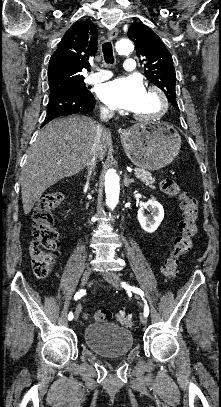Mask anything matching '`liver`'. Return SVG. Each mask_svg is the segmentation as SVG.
Here are the masks:
<instances>
[{"instance_id":"6515ba94","label":"liver","mask_w":221,"mask_h":407,"mask_svg":"<svg viewBox=\"0 0 221 407\" xmlns=\"http://www.w3.org/2000/svg\"><path fill=\"white\" fill-rule=\"evenodd\" d=\"M96 126L93 119L75 115L56 119L38 133L20 177L24 214L30 213L49 187L88 165ZM101 142L100 160L112 144L109 131L106 130Z\"/></svg>"}]
</instances>
